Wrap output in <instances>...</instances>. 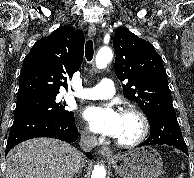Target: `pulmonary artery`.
I'll return each instance as SVG.
<instances>
[{
  "label": "pulmonary artery",
  "instance_id": "pulmonary-artery-1",
  "mask_svg": "<svg viewBox=\"0 0 194 178\" xmlns=\"http://www.w3.org/2000/svg\"><path fill=\"white\" fill-rule=\"evenodd\" d=\"M115 85L112 79L103 78L100 83L92 88H82L78 93H70L76 97L88 100L108 99L113 96Z\"/></svg>",
  "mask_w": 194,
  "mask_h": 178
}]
</instances>
